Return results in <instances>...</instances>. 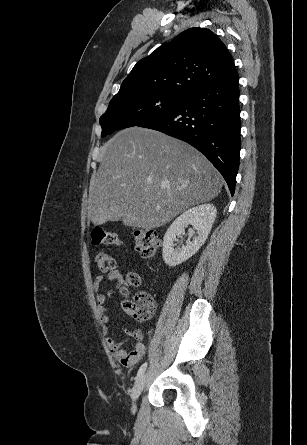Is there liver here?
I'll return each mask as SVG.
<instances>
[{"instance_id":"6515ba94","label":"liver","mask_w":307,"mask_h":445,"mask_svg":"<svg viewBox=\"0 0 307 445\" xmlns=\"http://www.w3.org/2000/svg\"><path fill=\"white\" fill-rule=\"evenodd\" d=\"M100 150L88 196L94 225L122 220L126 227L157 229L221 192L220 174L206 156L159 130L124 128Z\"/></svg>"}]
</instances>
